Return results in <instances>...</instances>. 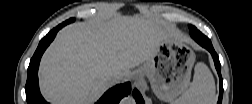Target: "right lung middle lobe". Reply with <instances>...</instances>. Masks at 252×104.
<instances>
[{
  "instance_id": "1",
  "label": "right lung middle lobe",
  "mask_w": 252,
  "mask_h": 104,
  "mask_svg": "<svg viewBox=\"0 0 252 104\" xmlns=\"http://www.w3.org/2000/svg\"><path fill=\"white\" fill-rule=\"evenodd\" d=\"M74 21H75V19H74V18H71V19H69V20L63 22V24L66 25V24H69V23L74 22Z\"/></svg>"
}]
</instances>
